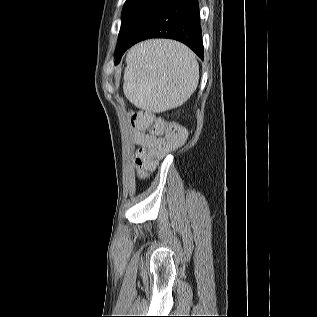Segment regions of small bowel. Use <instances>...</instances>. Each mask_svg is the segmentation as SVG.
Wrapping results in <instances>:
<instances>
[{
  "instance_id": "obj_1",
  "label": "small bowel",
  "mask_w": 317,
  "mask_h": 317,
  "mask_svg": "<svg viewBox=\"0 0 317 317\" xmlns=\"http://www.w3.org/2000/svg\"><path fill=\"white\" fill-rule=\"evenodd\" d=\"M135 140H136L137 145L139 146V151H138V153H139L141 151H145V150L150 149L156 139L153 135H149V134H145V133L140 132V131H136L135 132Z\"/></svg>"
}]
</instances>
